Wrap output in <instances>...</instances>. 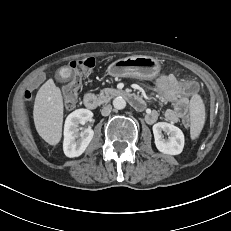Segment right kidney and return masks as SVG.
<instances>
[{"instance_id":"obj_1","label":"right kidney","mask_w":231,"mask_h":231,"mask_svg":"<svg viewBox=\"0 0 231 231\" xmlns=\"http://www.w3.org/2000/svg\"><path fill=\"white\" fill-rule=\"evenodd\" d=\"M93 116V113L88 109H78L68 115L64 126V154L69 158H74L82 155L90 144L94 131L87 128L81 133L80 125H84Z\"/></svg>"}]
</instances>
